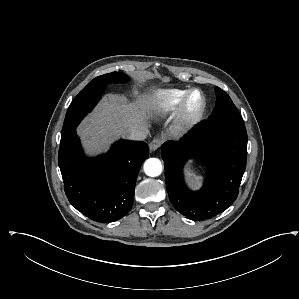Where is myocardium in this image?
<instances>
[{
    "label": "myocardium",
    "instance_id": "f54148a6",
    "mask_svg": "<svg viewBox=\"0 0 299 299\" xmlns=\"http://www.w3.org/2000/svg\"><path fill=\"white\" fill-rule=\"evenodd\" d=\"M197 94L199 102L195 107H190L191 97ZM206 109V98L203 92L199 89H190L185 92L181 98L174 116V126L177 129H184L196 123L203 115Z\"/></svg>",
    "mask_w": 299,
    "mask_h": 299
}]
</instances>
